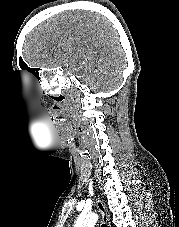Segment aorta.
I'll use <instances>...</instances> for the list:
<instances>
[{"label": "aorta", "mask_w": 179, "mask_h": 227, "mask_svg": "<svg viewBox=\"0 0 179 227\" xmlns=\"http://www.w3.org/2000/svg\"><path fill=\"white\" fill-rule=\"evenodd\" d=\"M98 218L96 213L82 212L76 219L74 227H94Z\"/></svg>", "instance_id": "obj_1"}]
</instances>
